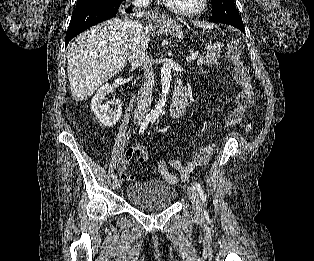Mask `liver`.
<instances>
[{"mask_svg": "<svg viewBox=\"0 0 314 261\" xmlns=\"http://www.w3.org/2000/svg\"><path fill=\"white\" fill-rule=\"evenodd\" d=\"M128 28L126 21L113 18L80 34L69 46L67 72L72 97L85 100L126 66ZM150 33L143 28L144 48Z\"/></svg>", "mask_w": 314, "mask_h": 261, "instance_id": "6515ba94", "label": "liver"}]
</instances>
